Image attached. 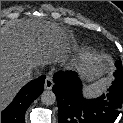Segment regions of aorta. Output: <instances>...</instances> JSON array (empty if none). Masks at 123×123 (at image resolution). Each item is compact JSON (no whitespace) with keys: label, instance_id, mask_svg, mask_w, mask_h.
Returning a JSON list of instances; mask_svg holds the SVG:
<instances>
[{"label":"aorta","instance_id":"762f6f07","mask_svg":"<svg viewBox=\"0 0 123 123\" xmlns=\"http://www.w3.org/2000/svg\"><path fill=\"white\" fill-rule=\"evenodd\" d=\"M41 101L44 105H53L56 102V96L51 90H45L41 94Z\"/></svg>","mask_w":123,"mask_h":123}]
</instances>
